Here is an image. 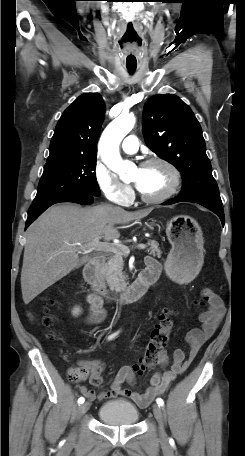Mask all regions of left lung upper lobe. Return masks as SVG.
<instances>
[{"label":"left lung upper lobe","mask_w":245,"mask_h":456,"mask_svg":"<svg viewBox=\"0 0 245 456\" xmlns=\"http://www.w3.org/2000/svg\"><path fill=\"white\" fill-rule=\"evenodd\" d=\"M143 133L147 146L181 172L180 199L222 207L201 126L178 96L155 95L145 103Z\"/></svg>","instance_id":"1"}]
</instances>
